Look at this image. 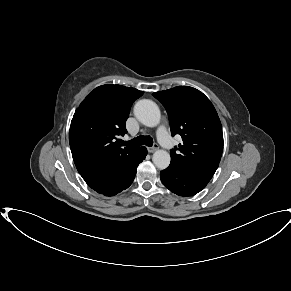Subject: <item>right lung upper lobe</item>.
I'll return each instance as SVG.
<instances>
[{
  "label": "right lung upper lobe",
  "instance_id": "cb5924a9",
  "mask_svg": "<svg viewBox=\"0 0 291 291\" xmlns=\"http://www.w3.org/2000/svg\"><path fill=\"white\" fill-rule=\"evenodd\" d=\"M143 93L122 85H102L84 99L69 131L75 165H114L137 150L121 148L117 137L127 132L125 122L131 105Z\"/></svg>",
  "mask_w": 291,
  "mask_h": 291
}]
</instances>
